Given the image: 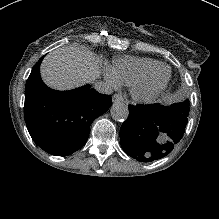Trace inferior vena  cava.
<instances>
[{
    "instance_id": "1",
    "label": "inferior vena cava",
    "mask_w": 219,
    "mask_h": 219,
    "mask_svg": "<svg viewBox=\"0 0 219 219\" xmlns=\"http://www.w3.org/2000/svg\"><path fill=\"white\" fill-rule=\"evenodd\" d=\"M93 87L97 92L101 94L110 95L113 93L111 85L101 80L95 81Z\"/></svg>"
}]
</instances>
